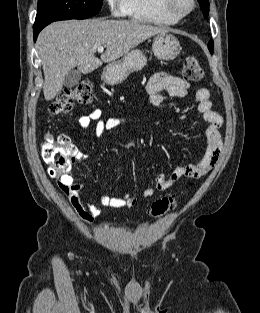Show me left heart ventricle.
Instances as JSON below:
<instances>
[{
  "mask_svg": "<svg viewBox=\"0 0 260 313\" xmlns=\"http://www.w3.org/2000/svg\"><path fill=\"white\" fill-rule=\"evenodd\" d=\"M187 6L186 0H176L177 9H184Z\"/></svg>",
  "mask_w": 260,
  "mask_h": 313,
  "instance_id": "b2bd125f",
  "label": "left heart ventricle"
}]
</instances>
